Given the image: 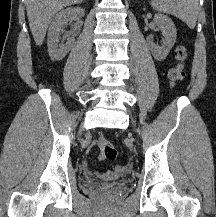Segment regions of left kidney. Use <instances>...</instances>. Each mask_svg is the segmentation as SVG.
<instances>
[{"instance_id": "left-kidney-1", "label": "left kidney", "mask_w": 216, "mask_h": 217, "mask_svg": "<svg viewBox=\"0 0 216 217\" xmlns=\"http://www.w3.org/2000/svg\"><path fill=\"white\" fill-rule=\"evenodd\" d=\"M154 23L162 31L163 35V43L161 46L155 44L152 38H147V44L149 49L151 50L154 58L158 61L164 60L170 49L173 47L176 37L177 31L172 20L163 14H155Z\"/></svg>"}]
</instances>
